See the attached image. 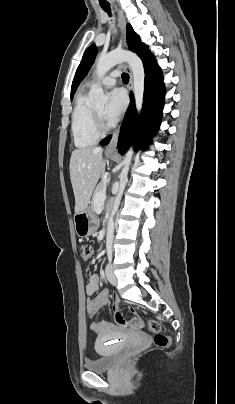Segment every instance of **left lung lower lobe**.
Masks as SVG:
<instances>
[{
	"instance_id": "0a47b994",
	"label": "left lung lower lobe",
	"mask_w": 235,
	"mask_h": 404,
	"mask_svg": "<svg viewBox=\"0 0 235 404\" xmlns=\"http://www.w3.org/2000/svg\"><path fill=\"white\" fill-rule=\"evenodd\" d=\"M142 60L145 69L143 109L138 118L131 93V104L125 114L118 139V151L122 155L129 148L133 137L136 149L146 148L160 126L165 95L162 73L153 54H148ZM110 139L111 136L106 137L101 141V145H107Z\"/></svg>"
}]
</instances>
